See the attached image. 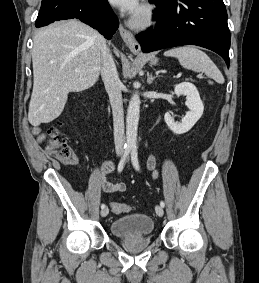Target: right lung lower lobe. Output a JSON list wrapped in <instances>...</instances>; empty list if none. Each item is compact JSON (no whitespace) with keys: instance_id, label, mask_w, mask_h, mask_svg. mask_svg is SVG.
<instances>
[{"instance_id":"1","label":"right lung lower lobe","mask_w":259,"mask_h":283,"mask_svg":"<svg viewBox=\"0 0 259 283\" xmlns=\"http://www.w3.org/2000/svg\"><path fill=\"white\" fill-rule=\"evenodd\" d=\"M72 18L97 29L107 39H111L119 26L107 0H42L35 26Z\"/></svg>"}]
</instances>
